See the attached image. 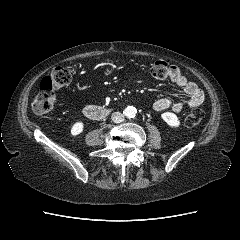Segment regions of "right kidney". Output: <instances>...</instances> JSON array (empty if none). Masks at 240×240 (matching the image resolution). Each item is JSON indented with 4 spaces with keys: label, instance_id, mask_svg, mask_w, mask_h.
<instances>
[{
    "label": "right kidney",
    "instance_id": "ca27d5eb",
    "mask_svg": "<svg viewBox=\"0 0 240 240\" xmlns=\"http://www.w3.org/2000/svg\"><path fill=\"white\" fill-rule=\"evenodd\" d=\"M84 129V123L83 122H76L73 124L72 128H71V135L73 136H77L80 133L83 132Z\"/></svg>",
    "mask_w": 240,
    "mask_h": 240
}]
</instances>
